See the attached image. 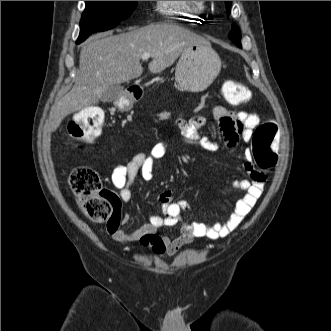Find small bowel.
Listing matches in <instances>:
<instances>
[{
  "instance_id": "obj_1",
  "label": "small bowel",
  "mask_w": 331,
  "mask_h": 331,
  "mask_svg": "<svg viewBox=\"0 0 331 331\" xmlns=\"http://www.w3.org/2000/svg\"><path fill=\"white\" fill-rule=\"evenodd\" d=\"M212 117L218 124L223 135L225 145L234 148L240 139L250 142L254 129L259 124V117L247 112H231L223 106H215L212 109ZM207 123V117L196 115L190 118L177 117V125L183 140L188 144L197 145L203 149L215 151L219 148V141L200 134V129ZM169 151L166 142L156 143L148 153H138L129 161L117 165L112 174L111 182L118 190L119 198L123 202H129L132 197L131 185L137 175L145 180L153 177L155 163L164 157ZM244 169L249 179H239L233 182V186L245 192L233 209V212L225 223L188 222L181 218L183 213L190 212V206L186 201H172L171 191L165 190L158 196L164 215L153 214L149 223L127 231L119 227L108 229L112 238L119 243L127 244L131 241H139L149 248L155 255H173L186 244L192 243L197 238L210 239L224 238L234 230L250 213L256 202L262 195L267 179L263 170L258 169L253 162L251 149H246ZM130 221V216L125 214L121 223ZM180 225V231L175 235H158L157 229L162 226L172 227Z\"/></svg>"
}]
</instances>
